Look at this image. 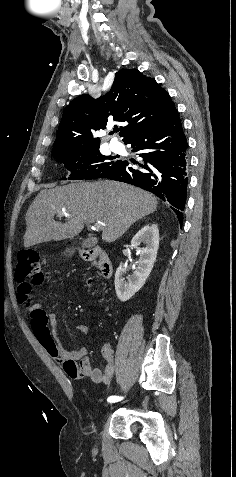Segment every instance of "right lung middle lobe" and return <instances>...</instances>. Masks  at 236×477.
Segmentation results:
<instances>
[{
	"instance_id": "dd1d6c3e",
	"label": "right lung middle lobe",
	"mask_w": 236,
	"mask_h": 477,
	"mask_svg": "<svg viewBox=\"0 0 236 477\" xmlns=\"http://www.w3.org/2000/svg\"><path fill=\"white\" fill-rule=\"evenodd\" d=\"M53 155L71 171V180L106 177L120 163L119 160L108 162L111 157L102 155L99 146H88L77 151L58 152Z\"/></svg>"
}]
</instances>
